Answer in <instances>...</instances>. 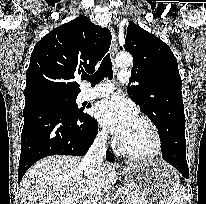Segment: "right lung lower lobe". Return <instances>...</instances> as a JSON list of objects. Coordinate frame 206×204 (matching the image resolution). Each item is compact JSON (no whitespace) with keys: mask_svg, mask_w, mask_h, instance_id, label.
I'll return each instance as SVG.
<instances>
[{"mask_svg":"<svg viewBox=\"0 0 206 204\" xmlns=\"http://www.w3.org/2000/svg\"><path fill=\"white\" fill-rule=\"evenodd\" d=\"M23 116L18 182L41 158L56 154L85 155L98 131L97 121L88 114L73 115L47 103L25 106ZM107 160H114L109 151Z\"/></svg>","mask_w":206,"mask_h":204,"instance_id":"98d812e1","label":"right lung lower lobe"}]
</instances>
